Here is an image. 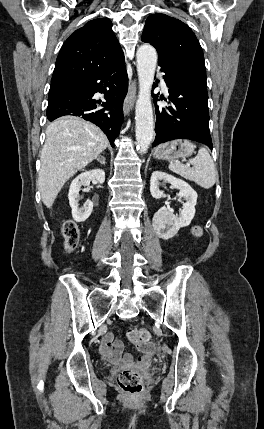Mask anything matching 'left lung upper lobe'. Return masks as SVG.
Instances as JSON below:
<instances>
[{
  "label": "left lung upper lobe",
  "instance_id": "5c2ea615",
  "mask_svg": "<svg viewBox=\"0 0 264 429\" xmlns=\"http://www.w3.org/2000/svg\"><path fill=\"white\" fill-rule=\"evenodd\" d=\"M141 41L152 44L159 59L170 61L207 86L202 48L193 31L182 21L160 13L150 15Z\"/></svg>",
  "mask_w": 264,
  "mask_h": 429
}]
</instances>
